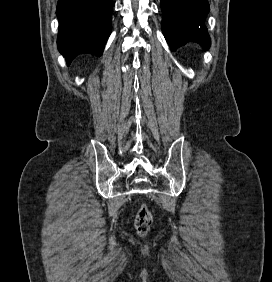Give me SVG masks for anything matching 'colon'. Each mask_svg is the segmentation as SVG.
<instances>
[{"label": "colon", "instance_id": "1", "mask_svg": "<svg viewBox=\"0 0 272 282\" xmlns=\"http://www.w3.org/2000/svg\"><path fill=\"white\" fill-rule=\"evenodd\" d=\"M152 221L153 216L148 206L144 203L138 204L134 221L136 232L140 235L146 234L152 225Z\"/></svg>", "mask_w": 272, "mask_h": 282}]
</instances>
